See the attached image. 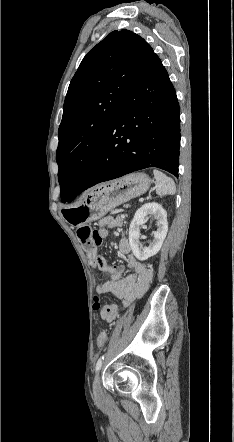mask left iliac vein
<instances>
[{"label": "left iliac vein", "mask_w": 234, "mask_h": 442, "mask_svg": "<svg viewBox=\"0 0 234 442\" xmlns=\"http://www.w3.org/2000/svg\"><path fill=\"white\" fill-rule=\"evenodd\" d=\"M93 393H94V398L97 402H100L103 400L104 394H103L102 387H101L99 373L96 374L94 381H93Z\"/></svg>", "instance_id": "4c4485c4"}]
</instances>
